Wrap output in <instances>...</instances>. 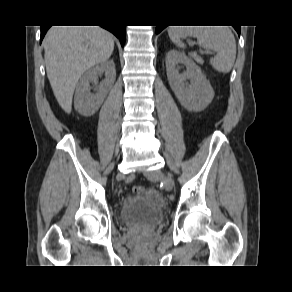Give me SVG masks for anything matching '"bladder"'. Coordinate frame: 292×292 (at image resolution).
Returning a JSON list of instances; mask_svg holds the SVG:
<instances>
[{"label":"bladder","mask_w":292,"mask_h":292,"mask_svg":"<svg viewBox=\"0 0 292 292\" xmlns=\"http://www.w3.org/2000/svg\"><path fill=\"white\" fill-rule=\"evenodd\" d=\"M119 215L128 226H155L164 218V203L156 191L143 192L126 198Z\"/></svg>","instance_id":"obj_1"}]
</instances>
